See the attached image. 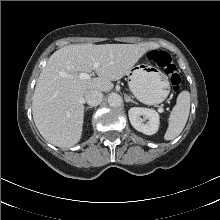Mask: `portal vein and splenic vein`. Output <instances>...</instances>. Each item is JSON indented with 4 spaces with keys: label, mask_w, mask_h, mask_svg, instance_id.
I'll return each mask as SVG.
<instances>
[{
    "label": "portal vein and splenic vein",
    "mask_w": 220,
    "mask_h": 220,
    "mask_svg": "<svg viewBox=\"0 0 220 220\" xmlns=\"http://www.w3.org/2000/svg\"><path fill=\"white\" fill-rule=\"evenodd\" d=\"M99 66H100L99 62H95L94 65H93L94 69H97ZM79 78L82 79V80H87V79L91 78V75L88 74V73H80Z\"/></svg>",
    "instance_id": "18ae733b"
}]
</instances>
